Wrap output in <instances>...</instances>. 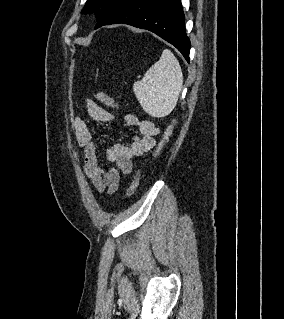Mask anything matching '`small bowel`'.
<instances>
[{
  "instance_id": "c3829d8e",
  "label": "small bowel",
  "mask_w": 284,
  "mask_h": 319,
  "mask_svg": "<svg viewBox=\"0 0 284 319\" xmlns=\"http://www.w3.org/2000/svg\"><path fill=\"white\" fill-rule=\"evenodd\" d=\"M85 107L88 115L95 121L111 123L115 120L114 114L94 101H86ZM123 119L128 125L138 127L139 136H135L131 144L117 143L105 149L107 160L114 164L108 170L99 163L97 145L86 121L80 117L74 120L76 142L84 152V173L99 193H115L121 176L132 172L134 158L151 151L160 133L159 128L150 120H141L134 114H126Z\"/></svg>"
}]
</instances>
